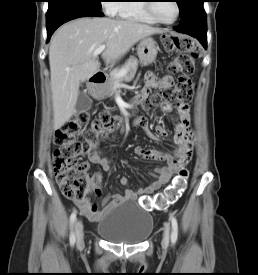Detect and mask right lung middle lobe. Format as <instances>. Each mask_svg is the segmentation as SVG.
I'll return each mask as SVG.
<instances>
[{
  "label": "right lung middle lobe",
  "instance_id": "obj_1",
  "mask_svg": "<svg viewBox=\"0 0 258 275\" xmlns=\"http://www.w3.org/2000/svg\"><path fill=\"white\" fill-rule=\"evenodd\" d=\"M64 5H79L100 10L101 0H49L48 10H52Z\"/></svg>",
  "mask_w": 258,
  "mask_h": 275
}]
</instances>
